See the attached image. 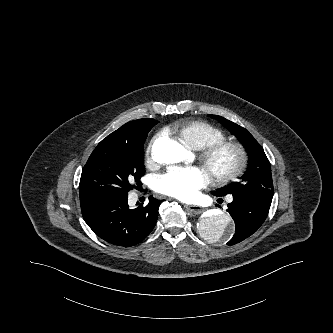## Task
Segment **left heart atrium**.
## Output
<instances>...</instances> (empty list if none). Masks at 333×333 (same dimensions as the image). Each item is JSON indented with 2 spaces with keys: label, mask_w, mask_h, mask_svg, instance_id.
<instances>
[{
  "label": "left heart atrium",
  "mask_w": 333,
  "mask_h": 333,
  "mask_svg": "<svg viewBox=\"0 0 333 333\" xmlns=\"http://www.w3.org/2000/svg\"><path fill=\"white\" fill-rule=\"evenodd\" d=\"M208 181V174L200 167L172 168L158 177L156 189L162 194L189 201L197 196Z\"/></svg>",
  "instance_id": "left-heart-atrium-1"
}]
</instances>
